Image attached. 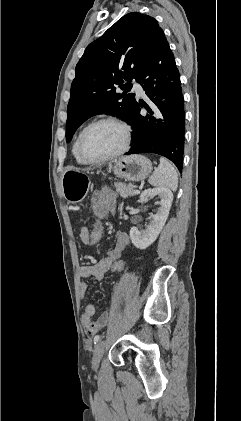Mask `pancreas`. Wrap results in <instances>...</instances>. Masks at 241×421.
I'll return each mask as SVG.
<instances>
[{
	"mask_svg": "<svg viewBox=\"0 0 241 421\" xmlns=\"http://www.w3.org/2000/svg\"><path fill=\"white\" fill-rule=\"evenodd\" d=\"M114 187L116 189V192H118L123 198H128L136 194L134 193V190L130 185H127L123 182H114Z\"/></svg>",
	"mask_w": 241,
	"mask_h": 421,
	"instance_id": "cf45deb5",
	"label": "pancreas"
}]
</instances>
